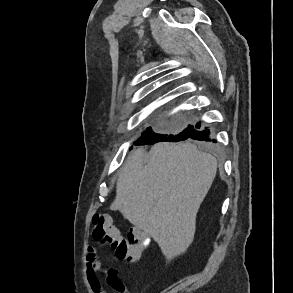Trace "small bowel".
Segmentation results:
<instances>
[{"instance_id": "obj_1", "label": "small bowel", "mask_w": 293, "mask_h": 293, "mask_svg": "<svg viewBox=\"0 0 293 293\" xmlns=\"http://www.w3.org/2000/svg\"><path fill=\"white\" fill-rule=\"evenodd\" d=\"M106 272V281L107 284L116 292V293H127V286L120 281L118 278L117 271L114 269H105L103 262L96 256L95 247L89 245L87 250V259H86V280L93 291V293H105L99 277V272Z\"/></svg>"}]
</instances>
